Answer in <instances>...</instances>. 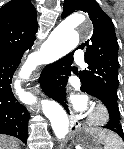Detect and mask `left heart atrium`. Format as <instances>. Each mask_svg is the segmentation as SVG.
Masks as SVG:
<instances>
[{
	"instance_id": "39dd6f15",
	"label": "left heart atrium",
	"mask_w": 124,
	"mask_h": 149,
	"mask_svg": "<svg viewBox=\"0 0 124 149\" xmlns=\"http://www.w3.org/2000/svg\"><path fill=\"white\" fill-rule=\"evenodd\" d=\"M71 101L74 104L75 108L84 111L87 109L86 99L80 96H72Z\"/></svg>"
}]
</instances>
